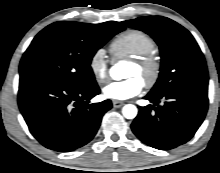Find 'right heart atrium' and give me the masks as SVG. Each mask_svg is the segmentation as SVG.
Returning <instances> with one entry per match:
<instances>
[{
	"mask_svg": "<svg viewBox=\"0 0 220 173\" xmlns=\"http://www.w3.org/2000/svg\"><path fill=\"white\" fill-rule=\"evenodd\" d=\"M89 69L98 83L103 84L108 81V60L105 51L102 48L95 50L90 57Z\"/></svg>",
	"mask_w": 220,
	"mask_h": 173,
	"instance_id": "d8ad5b80",
	"label": "right heart atrium"
}]
</instances>
